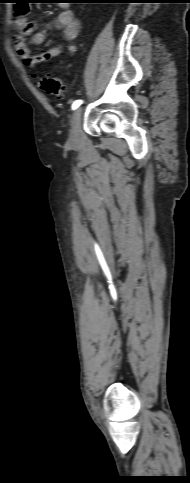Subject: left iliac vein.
<instances>
[{"label": "left iliac vein", "instance_id": "4c4485c4", "mask_svg": "<svg viewBox=\"0 0 190 483\" xmlns=\"http://www.w3.org/2000/svg\"><path fill=\"white\" fill-rule=\"evenodd\" d=\"M81 114L82 109L77 108L71 117V132H70V144L78 143L80 139V128H81Z\"/></svg>", "mask_w": 190, "mask_h": 483}]
</instances>
